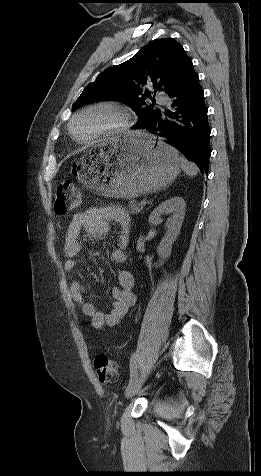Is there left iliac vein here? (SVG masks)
<instances>
[{
    "instance_id": "4c4485c4",
    "label": "left iliac vein",
    "mask_w": 261,
    "mask_h": 476,
    "mask_svg": "<svg viewBox=\"0 0 261 476\" xmlns=\"http://www.w3.org/2000/svg\"><path fill=\"white\" fill-rule=\"evenodd\" d=\"M147 377V372L143 371L139 374L126 388L125 396L127 398H132L135 396L139 390L142 388Z\"/></svg>"
}]
</instances>
